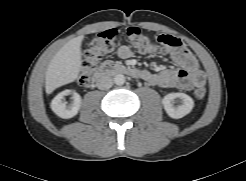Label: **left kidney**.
Masks as SVG:
<instances>
[{"mask_svg": "<svg viewBox=\"0 0 246 181\" xmlns=\"http://www.w3.org/2000/svg\"><path fill=\"white\" fill-rule=\"evenodd\" d=\"M176 98H179L181 100V105H174V101ZM162 104L166 113L174 119H179L186 116L192 111L194 107L193 99L184 93H169L162 99Z\"/></svg>", "mask_w": 246, "mask_h": 181, "instance_id": "left-kidney-1", "label": "left kidney"}]
</instances>
